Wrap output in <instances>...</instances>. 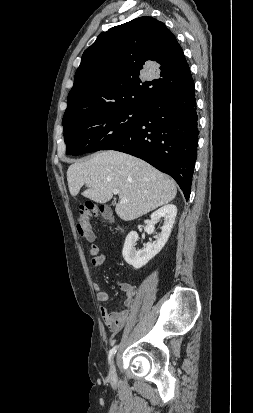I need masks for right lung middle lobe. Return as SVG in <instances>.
I'll list each match as a JSON object with an SVG mask.
<instances>
[{
    "mask_svg": "<svg viewBox=\"0 0 253 413\" xmlns=\"http://www.w3.org/2000/svg\"><path fill=\"white\" fill-rule=\"evenodd\" d=\"M140 117V108H116L63 124L66 154L80 155L113 145L138 125Z\"/></svg>",
    "mask_w": 253,
    "mask_h": 413,
    "instance_id": "obj_1",
    "label": "right lung middle lobe"
}]
</instances>
